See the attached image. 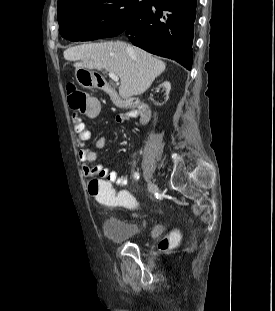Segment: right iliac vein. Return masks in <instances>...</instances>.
<instances>
[{"label":"right iliac vein","mask_w":275,"mask_h":311,"mask_svg":"<svg viewBox=\"0 0 275 311\" xmlns=\"http://www.w3.org/2000/svg\"><path fill=\"white\" fill-rule=\"evenodd\" d=\"M148 188H149V192L151 194H154L158 190L157 185L155 183H153V182H149L148 183Z\"/></svg>","instance_id":"obj_1"}]
</instances>
